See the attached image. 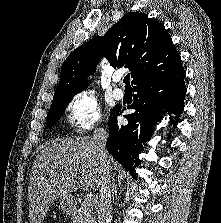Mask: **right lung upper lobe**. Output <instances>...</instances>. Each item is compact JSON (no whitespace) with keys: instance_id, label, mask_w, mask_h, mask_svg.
I'll return each instance as SVG.
<instances>
[{"instance_id":"obj_1","label":"right lung upper lobe","mask_w":221,"mask_h":223,"mask_svg":"<svg viewBox=\"0 0 221 223\" xmlns=\"http://www.w3.org/2000/svg\"><path fill=\"white\" fill-rule=\"evenodd\" d=\"M101 56L113 67L125 62L132 71V84L158 79L181 66L180 56L164 25L148 14L126 13L103 37L96 36L75 49L64 61L53 101L86 89Z\"/></svg>"}]
</instances>
